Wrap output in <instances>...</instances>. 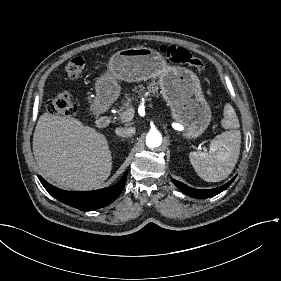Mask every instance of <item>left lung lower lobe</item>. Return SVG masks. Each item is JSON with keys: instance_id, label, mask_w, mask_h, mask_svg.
Instances as JSON below:
<instances>
[{"instance_id": "0a47b994", "label": "left lung lower lobe", "mask_w": 281, "mask_h": 281, "mask_svg": "<svg viewBox=\"0 0 281 281\" xmlns=\"http://www.w3.org/2000/svg\"><path fill=\"white\" fill-rule=\"evenodd\" d=\"M235 178H236V176L232 180H230L227 184H225L219 188L205 189V190L191 188V187L185 185L184 183L179 182L174 179L172 181L177 186V188H179L183 193H185L186 195H188L190 197L209 198V197H213V196L219 194L220 192H222L226 188H228L230 186V184L234 181Z\"/></svg>"}]
</instances>
